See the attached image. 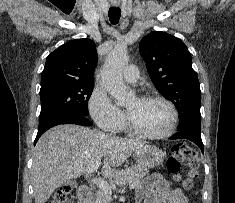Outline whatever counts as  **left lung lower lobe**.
I'll return each mask as SVG.
<instances>
[{"label": "left lung lower lobe", "instance_id": "obj_1", "mask_svg": "<svg viewBox=\"0 0 235 203\" xmlns=\"http://www.w3.org/2000/svg\"><path fill=\"white\" fill-rule=\"evenodd\" d=\"M178 130V133L171 136L170 139H188L198 145L204 153V147L201 139V127L188 125L178 128Z\"/></svg>", "mask_w": 235, "mask_h": 203}]
</instances>
